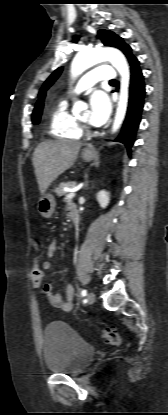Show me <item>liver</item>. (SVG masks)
Wrapping results in <instances>:
<instances>
[{
  "label": "liver",
  "instance_id": "1",
  "mask_svg": "<svg viewBox=\"0 0 168 415\" xmlns=\"http://www.w3.org/2000/svg\"><path fill=\"white\" fill-rule=\"evenodd\" d=\"M81 146L75 141L56 140L44 141L36 147L32 161L41 194L74 165Z\"/></svg>",
  "mask_w": 168,
  "mask_h": 415
}]
</instances>
